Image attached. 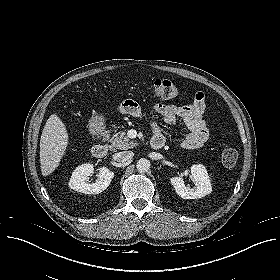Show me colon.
Listing matches in <instances>:
<instances>
[{"mask_svg": "<svg viewBox=\"0 0 280 280\" xmlns=\"http://www.w3.org/2000/svg\"><path fill=\"white\" fill-rule=\"evenodd\" d=\"M152 89L156 96L169 99L179 95V91L175 84L170 80L165 79H156L152 82ZM132 106L131 103L125 102L121 106V110L123 113L128 114L129 108ZM238 159V152L233 147H226L222 150L221 153V161L222 164L226 167H232L236 164Z\"/></svg>", "mask_w": 280, "mask_h": 280, "instance_id": "obj_1", "label": "colon"}]
</instances>
